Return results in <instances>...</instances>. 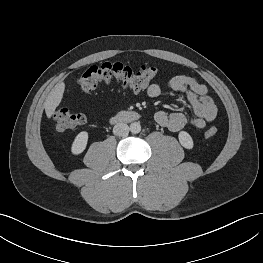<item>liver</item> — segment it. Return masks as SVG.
<instances>
[{"instance_id": "6515ba94", "label": "liver", "mask_w": 263, "mask_h": 263, "mask_svg": "<svg viewBox=\"0 0 263 263\" xmlns=\"http://www.w3.org/2000/svg\"><path fill=\"white\" fill-rule=\"evenodd\" d=\"M64 91H65V83L60 82L55 85V87L52 89V91L47 96L44 102V107H45L47 118L50 119L52 117V115L55 112V109L61 103Z\"/></svg>"}]
</instances>
